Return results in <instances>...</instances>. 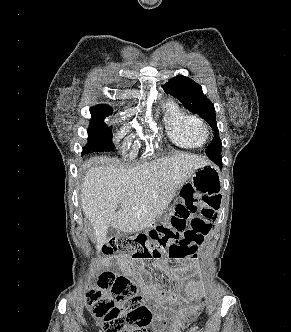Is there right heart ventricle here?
<instances>
[{
  "instance_id": "obj_1",
  "label": "right heart ventricle",
  "mask_w": 291,
  "mask_h": 332,
  "mask_svg": "<svg viewBox=\"0 0 291 332\" xmlns=\"http://www.w3.org/2000/svg\"><path fill=\"white\" fill-rule=\"evenodd\" d=\"M166 132L173 143L184 148H197L204 144L202 121L174 101L163 105Z\"/></svg>"
}]
</instances>
